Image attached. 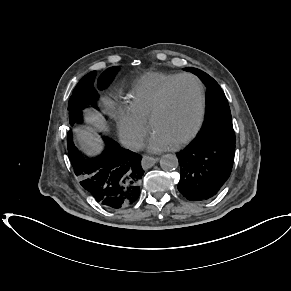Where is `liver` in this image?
I'll return each mask as SVG.
<instances>
[{"mask_svg": "<svg viewBox=\"0 0 291 291\" xmlns=\"http://www.w3.org/2000/svg\"><path fill=\"white\" fill-rule=\"evenodd\" d=\"M103 103L106 107H109L111 102L107 99H103ZM87 121L95 128L104 129L105 122L100 114L96 112L88 111L86 113ZM76 139L81 147L88 155H96L103 149L102 140L99 136L93 134L90 130L84 128L75 129Z\"/></svg>", "mask_w": 291, "mask_h": 291, "instance_id": "liver-1", "label": "liver"}]
</instances>
